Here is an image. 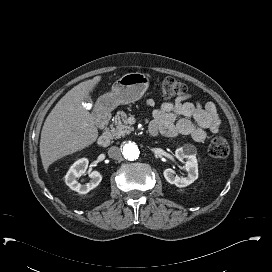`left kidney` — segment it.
<instances>
[{
	"label": "left kidney",
	"instance_id": "obj_1",
	"mask_svg": "<svg viewBox=\"0 0 272 272\" xmlns=\"http://www.w3.org/2000/svg\"><path fill=\"white\" fill-rule=\"evenodd\" d=\"M176 158L184 163L187 171L186 177L175 175L171 168L164 170L163 175L167 182L174 184L179 188L192 184L198 178V163L196 159V148L193 145H185L175 151ZM185 160V161H184Z\"/></svg>",
	"mask_w": 272,
	"mask_h": 272
}]
</instances>
